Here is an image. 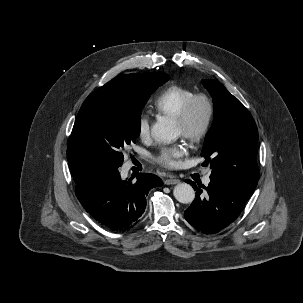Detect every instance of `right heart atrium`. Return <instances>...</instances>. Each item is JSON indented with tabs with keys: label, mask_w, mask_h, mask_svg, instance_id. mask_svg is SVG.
<instances>
[{
	"label": "right heart atrium",
	"mask_w": 303,
	"mask_h": 303,
	"mask_svg": "<svg viewBox=\"0 0 303 303\" xmlns=\"http://www.w3.org/2000/svg\"><path fill=\"white\" fill-rule=\"evenodd\" d=\"M138 136L142 140H148L151 134L150 120L145 114H141L137 123Z\"/></svg>",
	"instance_id": "1"
}]
</instances>
